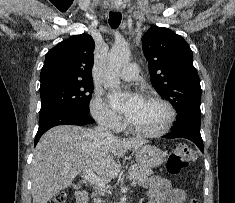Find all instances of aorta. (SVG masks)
<instances>
[{
	"instance_id": "1",
	"label": "aorta",
	"mask_w": 235,
	"mask_h": 203,
	"mask_svg": "<svg viewBox=\"0 0 235 203\" xmlns=\"http://www.w3.org/2000/svg\"><path fill=\"white\" fill-rule=\"evenodd\" d=\"M130 49L125 43L115 44L108 53L105 86L117 89L120 86L118 73L130 62Z\"/></svg>"
}]
</instances>
